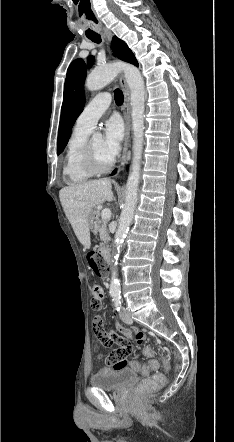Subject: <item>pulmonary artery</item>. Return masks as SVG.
Listing matches in <instances>:
<instances>
[{"mask_svg":"<svg viewBox=\"0 0 234 442\" xmlns=\"http://www.w3.org/2000/svg\"><path fill=\"white\" fill-rule=\"evenodd\" d=\"M110 103L111 97L108 93H100L95 96L76 119L75 128L91 132Z\"/></svg>","mask_w":234,"mask_h":442,"instance_id":"e3ab8cb5","label":"pulmonary artery"}]
</instances>
